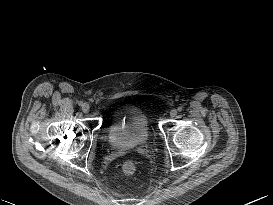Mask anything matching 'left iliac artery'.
I'll return each mask as SVG.
<instances>
[{"instance_id": "1", "label": "left iliac artery", "mask_w": 273, "mask_h": 205, "mask_svg": "<svg viewBox=\"0 0 273 205\" xmlns=\"http://www.w3.org/2000/svg\"><path fill=\"white\" fill-rule=\"evenodd\" d=\"M183 110V107L182 106H179L178 107V111L181 112Z\"/></svg>"}]
</instances>
